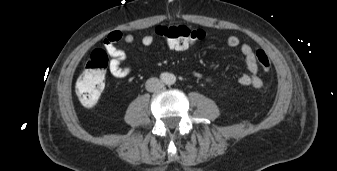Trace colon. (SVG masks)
<instances>
[{"mask_svg": "<svg viewBox=\"0 0 337 171\" xmlns=\"http://www.w3.org/2000/svg\"><path fill=\"white\" fill-rule=\"evenodd\" d=\"M155 32L165 39L173 50L184 49L204 37L202 29H194L185 25H159ZM255 56L260 68L263 71H269L271 62L267 54L263 50H257ZM107 66V54L101 49L93 50L75 85L78 99L83 106L91 107L99 101L105 87Z\"/></svg>", "mask_w": 337, "mask_h": 171, "instance_id": "1", "label": "colon"}]
</instances>
